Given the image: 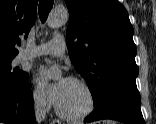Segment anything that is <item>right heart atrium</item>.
<instances>
[{"label": "right heart atrium", "instance_id": "obj_1", "mask_svg": "<svg viewBox=\"0 0 156 124\" xmlns=\"http://www.w3.org/2000/svg\"><path fill=\"white\" fill-rule=\"evenodd\" d=\"M32 97L34 104L37 108L45 110L49 107L50 105L49 95L41 84L39 83L34 84Z\"/></svg>", "mask_w": 156, "mask_h": 124}]
</instances>
